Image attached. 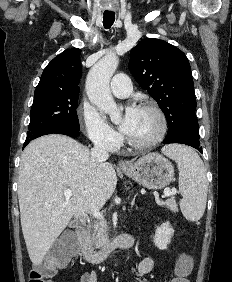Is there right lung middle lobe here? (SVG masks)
<instances>
[{
  "label": "right lung middle lobe",
  "mask_w": 232,
  "mask_h": 282,
  "mask_svg": "<svg viewBox=\"0 0 232 282\" xmlns=\"http://www.w3.org/2000/svg\"><path fill=\"white\" fill-rule=\"evenodd\" d=\"M78 95L65 92L34 93L27 136L59 125L80 130L76 112Z\"/></svg>",
  "instance_id": "dd1d6c3e"
}]
</instances>
